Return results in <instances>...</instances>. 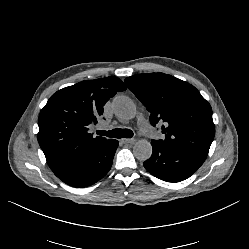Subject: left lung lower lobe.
Masks as SVG:
<instances>
[{"mask_svg":"<svg viewBox=\"0 0 249 249\" xmlns=\"http://www.w3.org/2000/svg\"><path fill=\"white\" fill-rule=\"evenodd\" d=\"M153 152L144 162L152 175L168 182H179L190 177L205 161V155L151 141Z\"/></svg>","mask_w":249,"mask_h":249,"instance_id":"left-lung-lower-lobe-1","label":"left lung lower lobe"}]
</instances>
